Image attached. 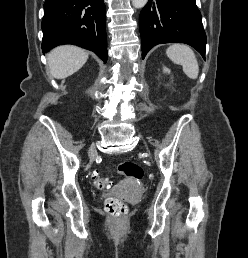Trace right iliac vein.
Segmentation results:
<instances>
[{
	"mask_svg": "<svg viewBox=\"0 0 248 258\" xmlns=\"http://www.w3.org/2000/svg\"><path fill=\"white\" fill-rule=\"evenodd\" d=\"M96 153V148L95 145H91L90 149H89V157L92 158Z\"/></svg>",
	"mask_w": 248,
	"mask_h": 258,
	"instance_id": "obj_1",
	"label": "right iliac vein"
}]
</instances>
